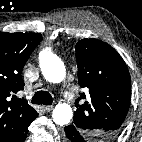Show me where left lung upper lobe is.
<instances>
[{
	"instance_id": "5c2ea615",
	"label": "left lung upper lobe",
	"mask_w": 142,
	"mask_h": 142,
	"mask_svg": "<svg viewBox=\"0 0 142 142\" xmlns=\"http://www.w3.org/2000/svg\"><path fill=\"white\" fill-rule=\"evenodd\" d=\"M78 80L89 95L75 101L73 122L87 139H111L116 136L130 105L131 79L122 57L107 43L82 39L76 46ZM86 99L79 105V101Z\"/></svg>"
}]
</instances>
